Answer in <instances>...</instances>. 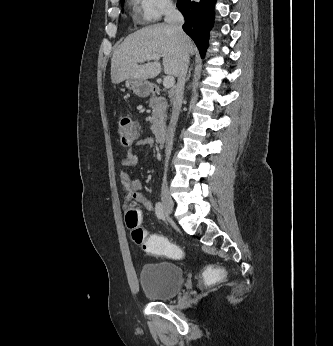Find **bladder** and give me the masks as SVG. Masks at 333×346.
Here are the masks:
<instances>
[{
    "mask_svg": "<svg viewBox=\"0 0 333 346\" xmlns=\"http://www.w3.org/2000/svg\"><path fill=\"white\" fill-rule=\"evenodd\" d=\"M183 271L173 263L146 265L141 269L139 282L145 294L154 301L175 296L183 284Z\"/></svg>",
    "mask_w": 333,
    "mask_h": 346,
    "instance_id": "31cf9c89",
    "label": "bladder"
}]
</instances>
